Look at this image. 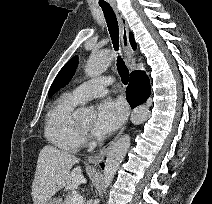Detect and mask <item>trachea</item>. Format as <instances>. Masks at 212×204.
<instances>
[{
    "label": "trachea",
    "mask_w": 212,
    "mask_h": 204,
    "mask_svg": "<svg viewBox=\"0 0 212 204\" xmlns=\"http://www.w3.org/2000/svg\"><path fill=\"white\" fill-rule=\"evenodd\" d=\"M104 13V17L108 26L110 37L112 39L113 47L116 51L119 49V27L116 15L109 5H100ZM117 70L121 77L123 84L127 85L129 81V70L127 69L123 59L118 56Z\"/></svg>",
    "instance_id": "obj_1"
}]
</instances>
